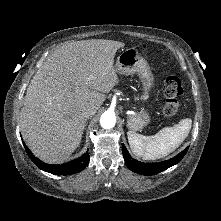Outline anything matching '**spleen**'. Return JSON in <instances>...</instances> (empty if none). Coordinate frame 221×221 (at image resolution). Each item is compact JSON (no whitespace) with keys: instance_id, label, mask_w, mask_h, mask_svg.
<instances>
[{"instance_id":"obj_1","label":"spleen","mask_w":221,"mask_h":221,"mask_svg":"<svg viewBox=\"0 0 221 221\" xmlns=\"http://www.w3.org/2000/svg\"><path fill=\"white\" fill-rule=\"evenodd\" d=\"M191 126L192 120L186 118L172 127L161 129L154 136L128 131V142L132 152L144 160L163 158L181 145L188 136Z\"/></svg>"}]
</instances>
